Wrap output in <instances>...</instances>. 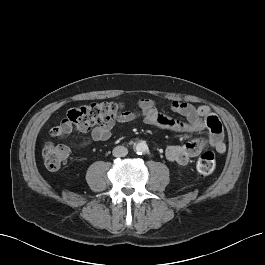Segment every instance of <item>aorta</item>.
Returning <instances> with one entry per match:
<instances>
[{
    "label": "aorta",
    "instance_id": "obj_1",
    "mask_svg": "<svg viewBox=\"0 0 265 265\" xmlns=\"http://www.w3.org/2000/svg\"><path fill=\"white\" fill-rule=\"evenodd\" d=\"M135 151L138 154L146 153L148 151V146L145 141H140L135 145Z\"/></svg>",
    "mask_w": 265,
    "mask_h": 265
}]
</instances>
